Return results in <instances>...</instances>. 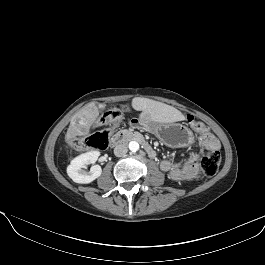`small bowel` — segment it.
Here are the masks:
<instances>
[{
    "label": "small bowel",
    "mask_w": 265,
    "mask_h": 265,
    "mask_svg": "<svg viewBox=\"0 0 265 265\" xmlns=\"http://www.w3.org/2000/svg\"><path fill=\"white\" fill-rule=\"evenodd\" d=\"M199 144L204 149H219L220 145L216 137L206 131L201 134L199 139ZM199 154L191 153L187 156L184 163H174L170 160H163L161 162V170L167 173L174 181L183 182L185 180H190L195 177L198 170Z\"/></svg>",
    "instance_id": "small-bowel-1"
}]
</instances>
